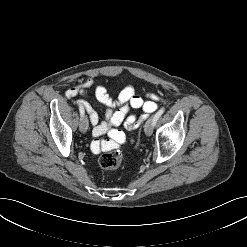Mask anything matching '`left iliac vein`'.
Wrapping results in <instances>:
<instances>
[{
  "mask_svg": "<svg viewBox=\"0 0 247 247\" xmlns=\"http://www.w3.org/2000/svg\"><path fill=\"white\" fill-rule=\"evenodd\" d=\"M153 127H154V120H153V118H149L146 121L145 127H144V131H145V134L147 136H151L152 135Z\"/></svg>",
  "mask_w": 247,
  "mask_h": 247,
  "instance_id": "4c4485c4",
  "label": "left iliac vein"
}]
</instances>
